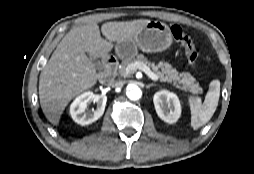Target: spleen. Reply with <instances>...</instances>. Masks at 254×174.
Masks as SVG:
<instances>
[{
  "mask_svg": "<svg viewBox=\"0 0 254 174\" xmlns=\"http://www.w3.org/2000/svg\"><path fill=\"white\" fill-rule=\"evenodd\" d=\"M220 96V82L213 80L210 83L209 91L202 103L199 97H189L188 102L191 111V126L193 129H198L205 125L216 111Z\"/></svg>",
  "mask_w": 254,
  "mask_h": 174,
  "instance_id": "obj_1",
  "label": "spleen"
}]
</instances>
